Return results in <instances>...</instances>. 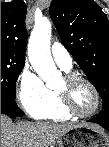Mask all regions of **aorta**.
<instances>
[{
    "label": "aorta",
    "mask_w": 109,
    "mask_h": 147,
    "mask_svg": "<svg viewBox=\"0 0 109 147\" xmlns=\"http://www.w3.org/2000/svg\"><path fill=\"white\" fill-rule=\"evenodd\" d=\"M51 23L47 19L36 21L28 43V56L33 69L53 87L61 74L56 69L50 52Z\"/></svg>",
    "instance_id": "762f6f07"
}]
</instances>
